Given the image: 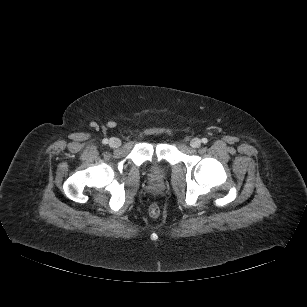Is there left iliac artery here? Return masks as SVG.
<instances>
[{
	"instance_id": "left-iliac-artery-1",
	"label": "left iliac artery",
	"mask_w": 307,
	"mask_h": 307,
	"mask_svg": "<svg viewBox=\"0 0 307 307\" xmlns=\"http://www.w3.org/2000/svg\"><path fill=\"white\" fill-rule=\"evenodd\" d=\"M202 142H203L204 144H206V143L208 142L207 138H203V139H202Z\"/></svg>"
}]
</instances>
